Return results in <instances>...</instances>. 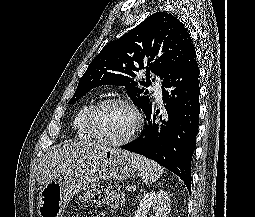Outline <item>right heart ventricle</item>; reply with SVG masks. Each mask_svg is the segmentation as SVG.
<instances>
[{
  "label": "right heart ventricle",
  "instance_id": "right-heart-ventricle-1",
  "mask_svg": "<svg viewBox=\"0 0 255 217\" xmlns=\"http://www.w3.org/2000/svg\"><path fill=\"white\" fill-rule=\"evenodd\" d=\"M95 101L89 102L85 105H83L78 112L76 113L74 120H73V126L76 130V134L79 138L84 140H93L95 137L92 135V133L89 131L86 123V115L90 107L95 104Z\"/></svg>",
  "mask_w": 255,
  "mask_h": 217
}]
</instances>
